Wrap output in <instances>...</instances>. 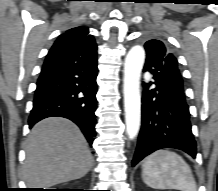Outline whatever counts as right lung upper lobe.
<instances>
[{"label":"right lung upper lobe","instance_id":"obj_1","mask_svg":"<svg viewBox=\"0 0 218 191\" xmlns=\"http://www.w3.org/2000/svg\"><path fill=\"white\" fill-rule=\"evenodd\" d=\"M88 33H89V31H88L87 27L79 26V27L72 28V29L66 31L64 33V35L70 36L72 38H76L79 40H85V41L86 40H94V37L92 35H89Z\"/></svg>","mask_w":218,"mask_h":191}]
</instances>
